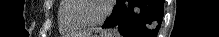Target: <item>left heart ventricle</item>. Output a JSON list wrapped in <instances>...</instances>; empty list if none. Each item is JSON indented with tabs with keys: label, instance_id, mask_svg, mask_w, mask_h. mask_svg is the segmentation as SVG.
<instances>
[{
	"label": "left heart ventricle",
	"instance_id": "1",
	"mask_svg": "<svg viewBox=\"0 0 219 37\" xmlns=\"http://www.w3.org/2000/svg\"><path fill=\"white\" fill-rule=\"evenodd\" d=\"M78 5L75 17L81 21L95 20L102 15L105 9L103 0H78Z\"/></svg>",
	"mask_w": 219,
	"mask_h": 37
}]
</instances>
